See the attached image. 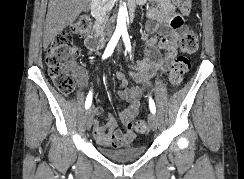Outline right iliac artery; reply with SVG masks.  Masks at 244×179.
<instances>
[{
	"label": "right iliac artery",
	"instance_id": "right-iliac-artery-1",
	"mask_svg": "<svg viewBox=\"0 0 244 179\" xmlns=\"http://www.w3.org/2000/svg\"><path fill=\"white\" fill-rule=\"evenodd\" d=\"M120 36H121V32L113 34L111 40L107 45V48L104 51V54L102 56L103 59H106L107 57L111 56ZM91 103H92V92L90 91L85 101V108L88 109L91 106Z\"/></svg>",
	"mask_w": 244,
	"mask_h": 179
}]
</instances>
